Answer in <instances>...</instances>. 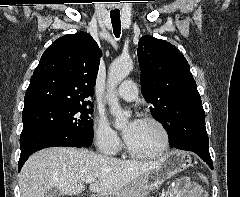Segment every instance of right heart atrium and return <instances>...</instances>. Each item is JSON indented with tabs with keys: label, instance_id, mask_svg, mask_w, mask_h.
<instances>
[{
	"label": "right heart atrium",
	"instance_id": "obj_1",
	"mask_svg": "<svg viewBox=\"0 0 240 197\" xmlns=\"http://www.w3.org/2000/svg\"><path fill=\"white\" fill-rule=\"evenodd\" d=\"M93 139L97 149L107 155H114L121 148L118 133L110 126L107 119L102 116H98L94 121Z\"/></svg>",
	"mask_w": 240,
	"mask_h": 197
}]
</instances>
